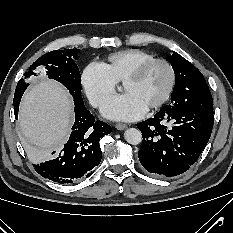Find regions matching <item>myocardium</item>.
<instances>
[{
    "instance_id": "1",
    "label": "myocardium",
    "mask_w": 233,
    "mask_h": 233,
    "mask_svg": "<svg viewBox=\"0 0 233 233\" xmlns=\"http://www.w3.org/2000/svg\"><path fill=\"white\" fill-rule=\"evenodd\" d=\"M156 64H162L166 67L169 74V81L164 94L155 103L151 104L147 108V110H155L157 108H160L171 97L176 83V73L173 65L166 59L154 58L137 66L130 74L127 75V77L123 81V84H125L127 82L139 80L152 66Z\"/></svg>"
}]
</instances>
